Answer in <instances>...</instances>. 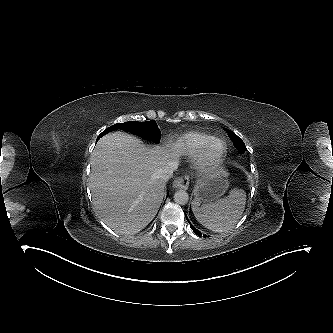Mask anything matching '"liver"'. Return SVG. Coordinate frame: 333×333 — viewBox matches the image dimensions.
<instances>
[{
  "label": "liver",
  "mask_w": 333,
  "mask_h": 333,
  "mask_svg": "<svg viewBox=\"0 0 333 333\" xmlns=\"http://www.w3.org/2000/svg\"><path fill=\"white\" fill-rule=\"evenodd\" d=\"M183 154L179 145L147 147L121 132L102 137L91 155L90 190L101 220L119 234H136L157 214L165 182L160 169Z\"/></svg>",
  "instance_id": "obj_1"
}]
</instances>
